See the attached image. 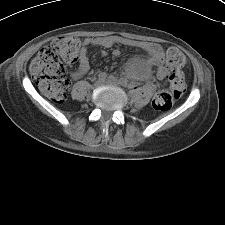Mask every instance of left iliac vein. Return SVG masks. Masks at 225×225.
Here are the masks:
<instances>
[{
    "label": "left iliac vein",
    "instance_id": "4c4485c4",
    "mask_svg": "<svg viewBox=\"0 0 225 225\" xmlns=\"http://www.w3.org/2000/svg\"><path fill=\"white\" fill-rule=\"evenodd\" d=\"M106 83L114 85V86H120L121 83L118 79L114 78V77H109L106 81Z\"/></svg>",
    "mask_w": 225,
    "mask_h": 225
}]
</instances>
